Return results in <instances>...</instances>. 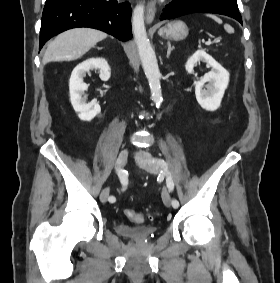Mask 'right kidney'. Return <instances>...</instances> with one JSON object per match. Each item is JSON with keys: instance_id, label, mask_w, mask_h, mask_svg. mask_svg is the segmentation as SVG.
Wrapping results in <instances>:
<instances>
[{"instance_id": "right-kidney-1", "label": "right kidney", "mask_w": 280, "mask_h": 283, "mask_svg": "<svg viewBox=\"0 0 280 283\" xmlns=\"http://www.w3.org/2000/svg\"><path fill=\"white\" fill-rule=\"evenodd\" d=\"M93 69L99 70V76L102 81L109 80L111 69L107 61L103 58H91L78 64L73 69L69 81L71 104L75 112L78 113V117L83 121L92 120L101 111L100 105L96 99L87 103L86 98L82 97L84 92L88 89L83 78L87 72Z\"/></svg>"}]
</instances>
